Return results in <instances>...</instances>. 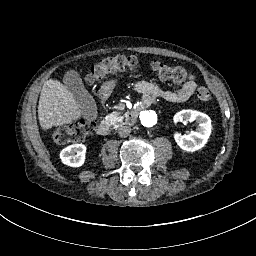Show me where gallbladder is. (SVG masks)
Segmentation results:
<instances>
[{"instance_id": "1", "label": "gallbladder", "mask_w": 256, "mask_h": 256, "mask_svg": "<svg viewBox=\"0 0 256 256\" xmlns=\"http://www.w3.org/2000/svg\"><path fill=\"white\" fill-rule=\"evenodd\" d=\"M63 84L73 94L84 118L86 120L96 118V102L92 95L86 90L80 73L74 68L67 70L63 77Z\"/></svg>"}]
</instances>
